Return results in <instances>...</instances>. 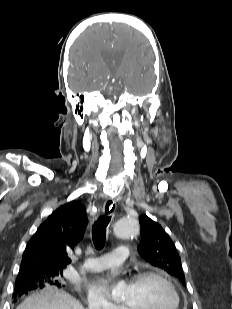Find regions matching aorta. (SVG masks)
I'll use <instances>...</instances> for the list:
<instances>
[{"label": "aorta", "mask_w": 232, "mask_h": 309, "mask_svg": "<svg viewBox=\"0 0 232 309\" xmlns=\"http://www.w3.org/2000/svg\"><path fill=\"white\" fill-rule=\"evenodd\" d=\"M139 227L137 220L129 217H123L115 223V234L119 238H130L138 234ZM124 282H119L112 290V297L118 301L123 298Z\"/></svg>", "instance_id": "obj_1"}]
</instances>
